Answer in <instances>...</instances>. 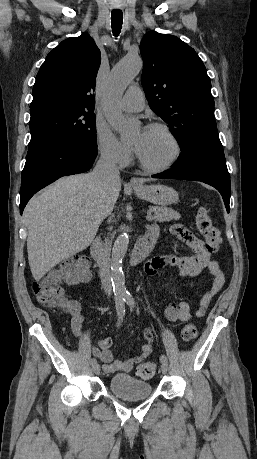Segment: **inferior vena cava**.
Listing matches in <instances>:
<instances>
[{
  "instance_id": "602c4592",
  "label": "inferior vena cava",
  "mask_w": 257,
  "mask_h": 459,
  "mask_svg": "<svg viewBox=\"0 0 257 459\" xmlns=\"http://www.w3.org/2000/svg\"><path fill=\"white\" fill-rule=\"evenodd\" d=\"M92 175L101 188L107 189L114 187L120 181V172L115 156L110 152H102ZM104 219L105 217H102V220ZM110 261V241L107 237L104 242L98 244L97 262L101 286L108 296L112 293Z\"/></svg>"
}]
</instances>
